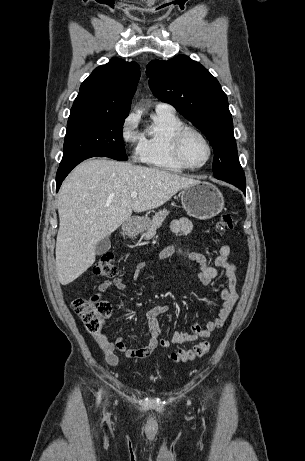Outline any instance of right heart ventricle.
<instances>
[{"label": "right heart ventricle", "instance_id": "e07e8e85", "mask_svg": "<svg viewBox=\"0 0 305 461\" xmlns=\"http://www.w3.org/2000/svg\"><path fill=\"white\" fill-rule=\"evenodd\" d=\"M182 126L183 121L174 112L156 110L151 124L139 135L137 155L140 162L171 172L184 171L172 150V138Z\"/></svg>", "mask_w": 305, "mask_h": 461}]
</instances>
